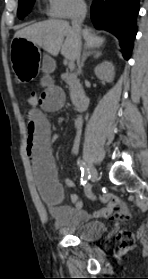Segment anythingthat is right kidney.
Masks as SVG:
<instances>
[{
	"label": "right kidney",
	"instance_id": "right-kidney-1",
	"mask_svg": "<svg viewBox=\"0 0 148 279\" xmlns=\"http://www.w3.org/2000/svg\"><path fill=\"white\" fill-rule=\"evenodd\" d=\"M95 75L102 81L113 82L115 77V67L112 62L104 61L94 69Z\"/></svg>",
	"mask_w": 148,
	"mask_h": 279
}]
</instances>
